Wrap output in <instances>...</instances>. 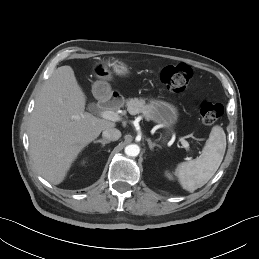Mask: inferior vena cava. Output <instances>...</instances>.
<instances>
[{"instance_id": "1", "label": "inferior vena cava", "mask_w": 259, "mask_h": 259, "mask_svg": "<svg viewBox=\"0 0 259 259\" xmlns=\"http://www.w3.org/2000/svg\"><path fill=\"white\" fill-rule=\"evenodd\" d=\"M102 136L105 140L116 141L121 137V132L116 128H109L103 131Z\"/></svg>"}]
</instances>
